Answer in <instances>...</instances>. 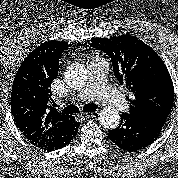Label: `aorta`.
<instances>
[{
  "label": "aorta",
  "mask_w": 178,
  "mask_h": 178,
  "mask_svg": "<svg viewBox=\"0 0 178 178\" xmlns=\"http://www.w3.org/2000/svg\"><path fill=\"white\" fill-rule=\"evenodd\" d=\"M87 70L81 64H72L65 72V80L71 88L80 89L87 82ZM102 126L108 129L116 128L120 123V115L113 107L104 108L99 115Z\"/></svg>",
  "instance_id": "obj_1"
}]
</instances>
